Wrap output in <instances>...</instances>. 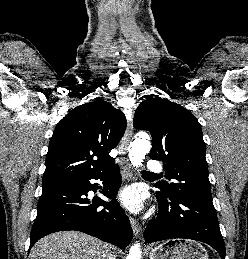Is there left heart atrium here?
Instances as JSON below:
<instances>
[{"label": "left heart atrium", "mask_w": 248, "mask_h": 259, "mask_svg": "<svg viewBox=\"0 0 248 259\" xmlns=\"http://www.w3.org/2000/svg\"><path fill=\"white\" fill-rule=\"evenodd\" d=\"M119 201L130 211L137 212L142 207V197L135 187L123 189L118 195Z\"/></svg>", "instance_id": "left-heart-atrium-1"}]
</instances>
